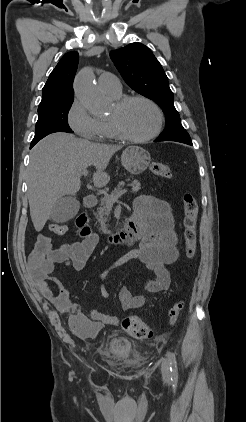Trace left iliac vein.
Instances as JSON below:
<instances>
[{
  "label": "left iliac vein",
  "mask_w": 246,
  "mask_h": 422,
  "mask_svg": "<svg viewBox=\"0 0 246 422\" xmlns=\"http://www.w3.org/2000/svg\"><path fill=\"white\" fill-rule=\"evenodd\" d=\"M161 370H162V376H163V379H164L165 381L169 380L170 371H169V363H168V361H165V362L162 364V368H161Z\"/></svg>",
  "instance_id": "obj_1"
}]
</instances>
